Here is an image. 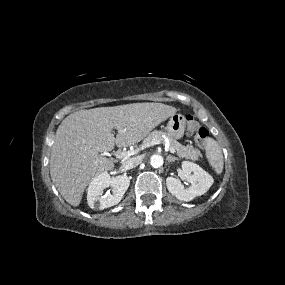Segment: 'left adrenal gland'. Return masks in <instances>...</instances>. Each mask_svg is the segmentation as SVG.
<instances>
[{
  "mask_svg": "<svg viewBox=\"0 0 285 285\" xmlns=\"http://www.w3.org/2000/svg\"><path fill=\"white\" fill-rule=\"evenodd\" d=\"M167 160H168L169 162H173V161H175V160H179V158L173 157V156H171V155H168V156H167Z\"/></svg>",
  "mask_w": 285,
  "mask_h": 285,
  "instance_id": "obj_1",
  "label": "left adrenal gland"
}]
</instances>
